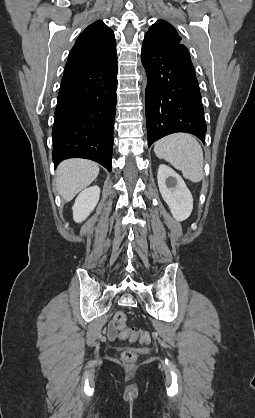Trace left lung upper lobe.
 <instances>
[{
	"label": "left lung upper lobe",
	"mask_w": 255,
	"mask_h": 418,
	"mask_svg": "<svg viewBox=\"0 0 255 418\" xmlns=\"http://www.w3.org/2000/svg\"><path fill=\"white\" fill-rule=\"evenodd\" d=\"M143 43H147L157 49H172L184 46L176 29L163 20L157 21L149 28Z\"/></svg>",
	"instance_id": "obj_1"
}]
</instances>
